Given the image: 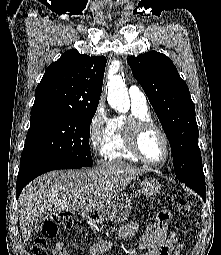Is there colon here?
<instances>
[{
  "mask_svg": "<svg viewBox=\"0 0 221 255\" xmlns=\"http://www.w3.org/2000/svg\"><path fill=\"white\" fill-rule=\"evenodd\" d=\"M177 210L183 216H188L191 213V206L186 198H181L177 203ZM171 219V213L168 210H163L157 215L155 223L148 228L150 233H161L168 227ZM73 220L69 213L59 212L54 213L42 226L41 234L34 240L32 251L34 255H47L46 247L47 240L56 236L59 228H71ZM53 255H68L63 245H58Z\"/></svg>",
  "mask_w": 221,
  "mask_h": 255,
  "instance_id": "5ec220e1",
  "label": "colon"
}]
</instances>
